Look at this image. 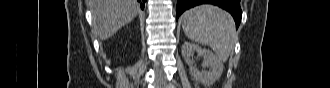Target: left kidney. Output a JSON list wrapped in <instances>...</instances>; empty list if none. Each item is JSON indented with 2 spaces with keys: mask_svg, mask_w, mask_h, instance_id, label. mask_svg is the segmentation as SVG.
Instances as JSON below:
<instances>
[{
  "mask_svg": "<svg viewBox=\"0 0 330 88\" xmlns=\"http://www.w3.org/2000/svg\"><path fill=\"white\" fill-rule=\"evenodd\" d=\"M197 52L199 56L203 57V67L211 68L210 71L202 70L199 71L192 64L191 57ZM182 56L185 62L189 65L190 73L196 81L203 85H211L222 75L223 63L214 55V53L208 49L201 48L199 45L194 43L185 42L181 50Z\"/></svg>",
  "mask_w": 330,
  "mask_h": 88,
  "instance_id": "5707ae66",
  "label": "left kidney"
}]
</instances>
